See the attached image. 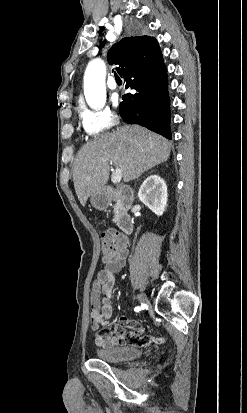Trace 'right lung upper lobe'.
<instances>
[{"label": "right lung upper lobe", "instance_id": "obj_1", "mask_svg": "<svg viewBox=\"0 0 247 413\" xmlns=\"http://www.w3.org/2000/svg\"><path fill=\"white\" fill-rule=\"evenodd\" d=\"M107 59L110 65H119L117 71L124 79L140 75L163 63L157 40L149 36L122 39L110 48Z\"/></svg>", "mask_w": 247, "mask_h": 413}]
</instances>
